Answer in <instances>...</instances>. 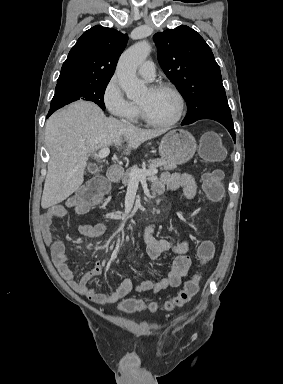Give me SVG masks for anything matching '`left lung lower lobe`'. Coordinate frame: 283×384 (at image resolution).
I'll return each instance as SVG.
<instances>
[{
  "label": "left lung lower lobe",
  "instance_id": "1",
  "mask_svg": "<svg viewBox=\"0 0 283 384\" xmlns=\"http://www.w3.org/2000/svg\"><path fill=\"white\" fill-rule=\"evenodd\" d=\"M200 119H212L215 121L220 122L223 126L227 128V130L230 132L231 136L233 137V140L235 141V131H234V126H233V120L231 117V114H220V115H207L204 117H201ZM198 119V120H200ZM197 121V120H195ZM195 121L184 123L182 122V125H188L191 124Z\"/></svg>",
  "mask_w": 283,
  "mask_h": 384
}]
</instances>
